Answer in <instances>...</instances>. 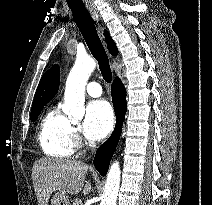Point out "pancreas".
Returning a JSON list of instances; mask_svg holds the SVG:
<instances>
[{
  "label": "pancreas",
  "instance_id": "obj_1",
  "mask_svg": "<svg viewBox=\"0 0 212 205\" xmlns=\"http://www.w3.org/2000/svg\"><path fill=\"white\" fill-rule=\"evenodd\" d=\"M72 205H83V204H82V201H81L80 199H76V200L72 203Z\"/></svg>",
  "mask_w": 212,
  "mask_h": 205
}]
</instances>
